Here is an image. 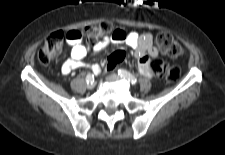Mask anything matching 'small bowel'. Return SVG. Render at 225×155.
I'll return each mask as SVG.
<instances>
[{
    "label": "small bowel",
    "mask_w": 225,
    "mask_h": 155,
    "mask_svg": "<svg viewBox=\"0 0 225 155\" xmlns=\"http://www.w3.org/2000/svg\"><path fill=\"white\" fill-rule=\"evenodd\" d=\"M67 42L70 46V58L66 59L62 64V72L69 74L71 71L86 67L83 61L87 53L92 50L94 52L103 51L110 43H125L134 50V55L138 60L139 72L148 78L155 75L152 67L153 62L159 56V49L153 44V36L150 33L139 34L137 32H126L123 29H115V31L105 36L101 41L86 46L81 43L82 33L78 29H71L67 33ZM94 73H99L98 65H93Z\"/></svg>",
    "instance_id": "c3829d8e"
}]
</instances>
